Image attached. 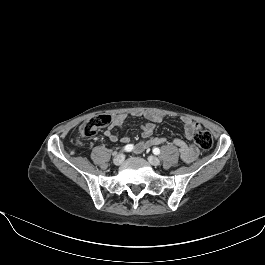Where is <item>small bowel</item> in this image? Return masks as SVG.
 <instances>
[{"label": "small bowel", "mask_w": 265, "mask_h": 265, "mask_svg": "<svg viewBox=\"0 0 265 265\" xmlns=\"http://www.w3.org/2000/svg\"><path fill=\"white\" fill-rule=\"evenodd\" d=\"M131 115L134 117H143L147 119V122L141 125L143 140L135 145L134 150L136 153H141L151 146L160 145L165 142V138L153 136L156 124L162 121V116L160 114L152 111L135 110L131 113ZM126 120V114L121 113L113 115L110 125L105 131L106 137H108L113 142L117 141L118 136L113 132V129L123 128L126 125ZM181 121L184 126V136L188 141H190V143H186L180 138H175L173 140V144L179 149L181 159L185 163H191L199 155L198 147L193 142L194 134L199 128V124L188 117H182ZM129 140V137L127 136L121 138V141L123 143H128Z\"/></svg>", "instance_id": "1"}]
</instances>
